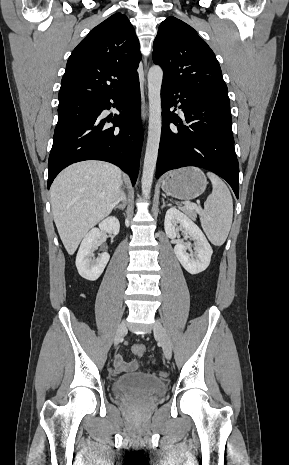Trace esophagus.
Returning <instances> with one entry per match:
<instances>
[{
	"instance_id": "obj_1",
	"label": "esophagus",
	"mask_w": 289,
	"mask_h": 465,
	"mask_svg": "<svg viewBox=\"0 0 289 465\" xmlns=\"http://www.w3.org/2000/svg\"><path fill=\"white\" fill-rule=\"evenodd\" d=\"M147 114H148L147 106H146V104L144 103L143 106H142V118H143V119H146Z\"/></svg>"
}]
</instances>
